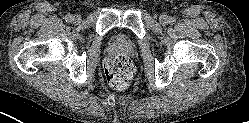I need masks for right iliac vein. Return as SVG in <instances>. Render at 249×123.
I'll use <instances>...</instances> for the list:
<instances>
[{
    "label": "right iliac vein",
    "instance_id": "1",
    "mask_svg": "<svg viewBox=\"0 0 249 123\" xmlns=\"http://www.w3.org/2000/svg\"><path fill=\"white\" fill-rule=\"evenodd\" d=\"M81 16L80 15H75L74 17H73V21L75 22V23H80V21H81Z\"/></svg>",
    "mask_w": 249,
    "mask_h": 123
}]
</instances>
